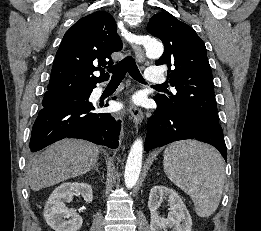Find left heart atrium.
<instances>
[{
  "label": "left heart atrium",
  "mask_w": 261,
  "mask_h": 231,
  "mask_svg": "<svg viewBox=\"0 0 261 231\" xmlns=\"http://www.w3.org/2000/svg\"><path fill=\"white\" fill-rule=\"evenodd\" d=\"M141 98L139 96H134L132 99V103L139 104L141 103Z\"/></svg>",
  "instance_id": "1"
}]
</instances>
